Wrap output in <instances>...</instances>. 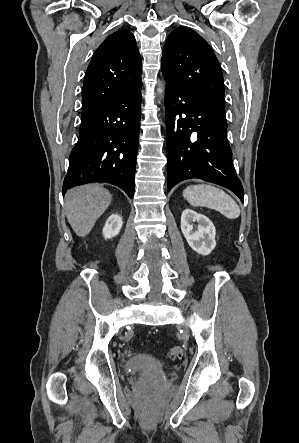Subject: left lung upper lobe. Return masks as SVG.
<instances>
[{
    "mask_svg": "<svg viewBox=\"0 0 299 443\" xmlns=\"http://www.w3.org/2000/svg\"><path fill=\"white\" fill-rule=\"evenodd\" d=\"M166 79L225 114L224 83L220 64L208 43L188 28L168 36L161 59Z\"/></svg>",
    "mask_w": 299,
    "mask_h": 443,
    "instance_id": "obj_1",
    "label": "left lung upper lobe"
}]
</instances>
